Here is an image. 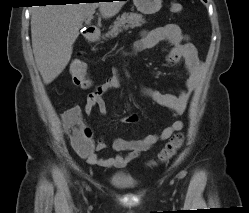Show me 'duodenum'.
<instances>
[{
  "label": "duodenum",
  "instance_id": "410a0bca",
  "mask_svg": "<svg viewBox=\"0 0 249 213\" xmlns=\"http://www.w3.org/2000/svg\"><path fill=\"white\" fill-rule=\"evenodd\" d=\"M98 29L95 26H91L86 30V40L90 43H94L97 40L98 37Z\"/></svg>",
  "mask_w": 249,
  "mask_h": 213
}]
</instances>
